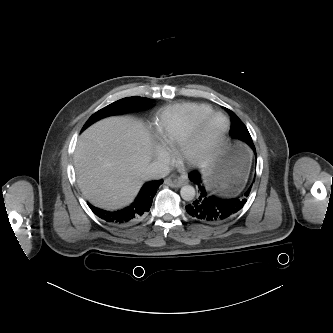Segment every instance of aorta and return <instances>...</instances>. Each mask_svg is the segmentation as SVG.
<instances>
[{"instance_id": "aorta-1", "label": "aorta", "mask_w": 333, "mask_h": 333, "mask_svg": "<svg viewBox=\"0 0 333 333\" xmlns=\"http://www.w3.org/2000/svg\"><path fill=\"white\" fill-rule=\"evenodd\" d=\"M181 197L185 201H191L195 197V189L191 185H185L180 190Z\"/></svg>"}]
</instances>
